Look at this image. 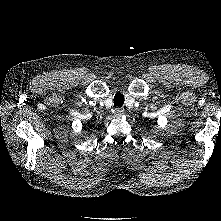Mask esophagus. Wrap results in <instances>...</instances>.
Wrapping results in <instances>:
<instances>
[{
	"label": "esophagus",
	"mask_w": 221,
	"mask_h": 221,
	"mask_svg": "<svg viewBox=\"0 0 221 221\" xmlns=\"http://www.w3.org/2000/svg\"><path fill=\"white\" fill-rule=\"evenodd\" d=\"M123 112H124V110H123L122 108H120V107H118V108H116V109L114 110V114H115L116 116H121V115L123 114Z\"/></svg>",
	"instance_id": "34e87169"
}]
</instances>
